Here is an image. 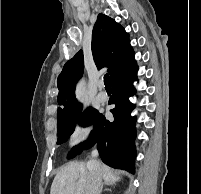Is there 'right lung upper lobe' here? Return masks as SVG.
<instances>
[{
  "label": "right lung upper lobe",
  "mask_w": 201,
  "mask_h": 194,
  "mask_svg": "<svg viewBox=\"0 0 201 194\" xmlns=\"http://www.w3.org/2000/svg\"><path fill=\"white\" fill-rule=\"evenodd\" d=\"M92 54L98 69L108 67L111 82L134 63V53L124 28L112 18L99 14L92 32ZM84 70L83 51L80 50L63 67L58 76V119L74 113L81 105L75 99V85Z\"/></svg>",
  "instance_id": "cb5924a9"
}]
</instances>
